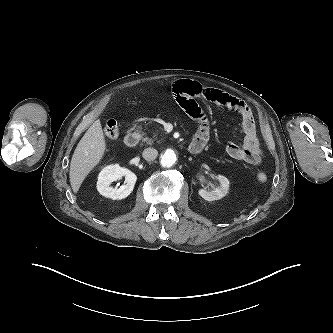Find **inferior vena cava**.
<instances>
[{"mask_svg":"<svg viewBox=\"0 0 333 333\" xmlns=\"http://www.w3.org/2000/svg\"><path fill=\"white\" fill-rule=\"evenodd\" d=\"M143 158L146 160V161H153L156 159L157 155H158V151L154 148H146L144 151H143Z\"/></svg>","mask_w":333,"mask_h":333,"instance_id":"602c4592","label":"inferior vena cava"}]
</instances>
